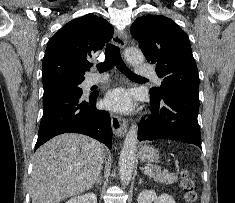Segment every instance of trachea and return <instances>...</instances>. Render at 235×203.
<instances>
[{
    "instance_id": "obj_1",
    "label": "trachea",
    "mask_w": 235,
    "mask_h": 203,
    "mask_svg": "<svg viewBox=\"0 0 235 203\" xmlns=\"http://www.w3.org/2000/svg\"><path fill=\"white\" fill-rule=\"evenodd\" d=\"M116 66L124 75L128 77H138L141 76L133 73L124 63L120 55V49L118 46L113 44H107L105 50V61L97 65L100 73L106 72Z\"/></svg>"
}]
</instances>
